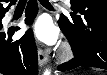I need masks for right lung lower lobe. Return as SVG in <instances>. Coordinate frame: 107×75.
I'll return each instance as SVG.
<instances>
[{"label": "right lung lower lobe", "mask_w": 107, "mask_h": 75, "mask_svg": "<svg viewBox=\"0 0 107 75\" xmlns=\"http://www.w3.org/2000/svg\"><path fill=\"white\" fill-rule=\"evenodd\" d=\"M15 2L9 4L12 5ZM9 7L0 13V21ZM38 12L36 0H30L26 9V23H31ZM19 28L3 30L0 27V73L4 75H37L38 58L33 32L28 30L24 36L12 41V35Z\"/></svg>", "instance_id": "right-lung-lower-lobe-1"}]
</instances>
